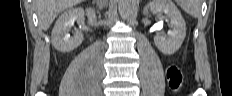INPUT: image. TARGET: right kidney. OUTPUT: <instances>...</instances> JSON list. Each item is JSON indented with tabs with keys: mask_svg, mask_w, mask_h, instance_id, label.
I'll return each instance as SVG.
<instances>
[{
	"mask_svg": "<svg viewBox=\"0 0 232 96\" xmlns=\"http://www.w3.org/2000/svg\"><path fill=\"white\" fill-rule=\"evenodd\" d=\"M85 13L88 16V23L96 20V13L92 8H87L85 11L82 8L69 9L57 19L52 30V44L58 51L70 52L82 43L83 34L81 32H77L73 37H69L67 32L75 20L84 18Z\"/></svg>",
	"mask_w": 232,
	"mask_h": 96,
	"instance_id": "1",
	"label": "right kidney"
}]
</instances>
